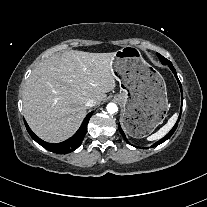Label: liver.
Returning a JSON list of instances; mask_svg holds the SVG:
<instances>
[{"instance_id": "6515ba94", "label": "liver", "mask_w": 207, "mask_h": 207, "mask_svg": "<svg viewBox=\"0 0 207 207\" xmlns=\"http://www.w3.org/2000/svg\"><path fill=\"white\" fill-rule=\"evenodd\" d=\"M114 53L71 50L32 71L23 91V114L37 136L57 143L75 133L86 115V102L104 101L116 86Z\"/></svg>"}]
</instances>
